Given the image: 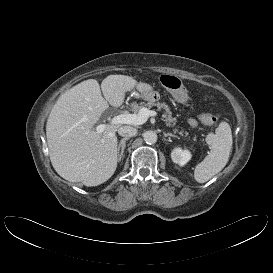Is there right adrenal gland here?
<instances>
[{"label": "right adrenal gland", "instance_id": "obj_1", "mask_svg": "<svg viewBox=\"0 0 273 273\" xmlns=\"http://www.w3.org/2000/svg\"><path fill=\"white\" fill-rule=\"evenodd\" d=\"M129 140V138H123L120 140L117 146V153H118V160L121 161V159L124 157V150L126 148V141Z\"/></svg>", "mask_w": 273, "mask_h": 273}]
</instances>
